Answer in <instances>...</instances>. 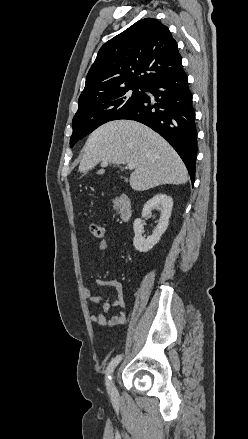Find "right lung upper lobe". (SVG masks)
<instances>
[{
	"label": "right lung upper lobe",
	"instance_id": "cb5924a9",
	"mask_svg": "<svg viewBox=\"0 0 248 439\" xmlns=\"http://www.w3.org/2000/svg\"><path fill=\"white\" fill-rule=\"evenodd\" d=\"M181 67L169 29L156 19H142L101 47L78 104L124 87L146 88Z\"/></svg>",
	"mask_w": 248,
	"mask_h": 439
}]
</instances>
